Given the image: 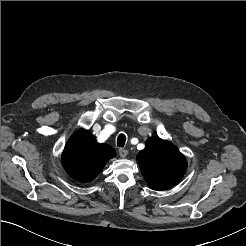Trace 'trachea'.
Masks as SVG:
<instances>
[{"mask_svg":"<svg viewBox=\"0 0 246 246\" xmlns=\"http://www.w3.org/2000/svg\"><path fill=\"white\" fill-rule=\"evenodd\" d=\"M126 136L124 134H120L117 138V146L123 147L125 145Z\"/></svg>","mask_w":246,"mask_h":246,"instance_id":"trachea-1","label":"trachea"}]
</instances>
